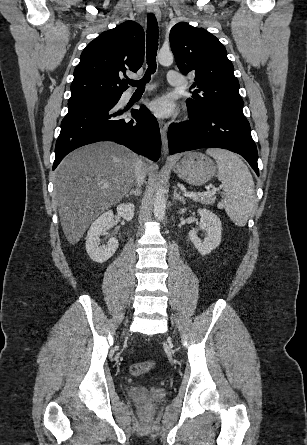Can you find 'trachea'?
<instances>
[{"instance_id": "obj_1", "label": "trachea", "mask_w": 307, "mask_h": 445, "mask_svg": "<svg viewBox=\"0 0 307 445\" xmlns=\"http://www.w3.org/2000/svg\"><path fill=\"white\" fill-rule=\"evenodd\" d=\"M158 24L155 16L149 14L147 17V38H146V59L148 69L141 80H128L127 83L137 89H143L150 81L151 75L156 71V54L158 49L159 38Z\"/></svg>"}]
</instances>
